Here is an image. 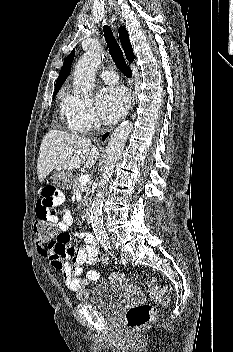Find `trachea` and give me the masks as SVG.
Returning <instances> with one entry per match:
<instances>
[{
	"label": "trachea",
	"mask_w": 233,
	"mask_h": 352,
	"mask_svg": "<svg viewBox=\"0 0 233 352\" xmlns=\"http://www.w3.org/2000/svg\"><path fill=\"white\" fill-rule=\"evenodd\" d=\"M103 31H104L105 41L107 43V46L109 48V52L111 54V57H112L115 65L122 71V73L126 77L131 78L132 71L128 67V65L123 57L122 50H121L119 44L117 43L111 28L109 26L105 25Z\"/></svg>",
	"instance_id": "3493384b"
}]
</instances>
